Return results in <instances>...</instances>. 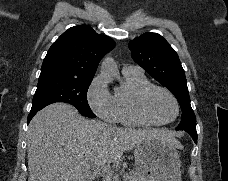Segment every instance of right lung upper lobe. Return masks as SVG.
<instances>
[{
  "instance_id": "right-lung-upper-lobe-1",
  "label": "right lung upper lobe",
  "mask_w": 228,
  "mask_h": 181,
  "mask_svg": "<svg viewBox=\"0 0 228 181\" xmlns=\"http://www.w3.org/2000/svg\"><path fill=\"white\" fill-rule=\"evenodd\" d=\"M114 46L113 39L97 34L90 26L71 27L50 47L40 77L92 80L99 61Z\"/></svg>"
}]
</instances>
